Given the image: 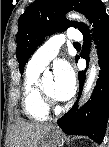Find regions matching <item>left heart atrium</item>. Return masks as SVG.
<instances>
[{
    "instance_id": "1",
    "label": "left heart atrium",
    "mask_w": 109,
    "mask_h": 147,
    "mask_svg": "<svg viewBox=\"0 0 109 147\" xmlns=\"http://www.w3.org/2000/svg\"><path fill=\"white\" fill-rule=\"evenodd\" d=\"M54 96L60 101L70 99L76 89L75 71L68 62L60 61L54 68Z\"/></svg>"
}]
</instances>
